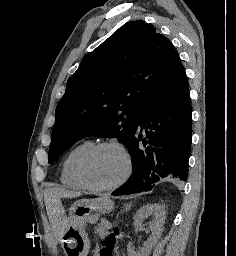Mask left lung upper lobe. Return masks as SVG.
Returning a JSON list of instances; mask_svg holds the SVG:
<instances>
[{
  "mask_svg": "<svg viewBox=\"0 0 236 256\" xmlns=\"http://www.w3.org/2000/svg\"><path fill=\"white\" fill-rule=\"evenodd\" d=\"M184 68L171 42L130 21L88 54L56 109L49 163L86 136L116 137L126 147L144 107Z\"/></svg>",
  "mask_w": 236,
  "mask_h": 256,
  "instance_id": "left-lung-upper-lobe-1",
  "label": "left lung upper lobe"
}]
</instances>
